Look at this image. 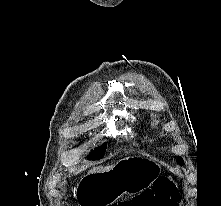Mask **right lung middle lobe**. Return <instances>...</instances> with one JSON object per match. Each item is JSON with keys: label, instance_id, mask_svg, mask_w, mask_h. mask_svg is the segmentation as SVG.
<instances>
[{"label": "right lung middle lobe", "instance_id": "obj_1", "mask_svg": "<svg viewBox=\"0 0 221 206\" xmlns=\"http://www.w3.org/2000/svg\"><path fill=\"white\" fill-rule=\"evenodd\" d=\"M105 149H106V145L100 147L99 149L96 150V152L91 153L90 156H88V159L98 160L102 158L104 156Z\"/></svg>", "mask_w": 221, "mask_h": 206}]
</instances>
